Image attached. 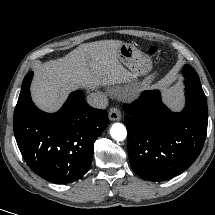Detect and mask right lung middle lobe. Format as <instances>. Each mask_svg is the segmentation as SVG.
Wrapping results in <instances>:
<instances>
[{"mask_svg": "<svg viewBox=\"0 0 215 215\" xmlns=\"http://www.w3.org/2000/svg\"><path fill=\"white\" fill-rule=\"evenodd\" d=\"M32 76H33V72H29L26 75L24 81L27 80L28 83H30ZM29 104H30V97L28 95H23L22 93H20L17 105L15 107L13 124L17 123V121L25 114V112L28 110Z\"/></svg>", "mask_w": 215, "mask_h": 215, "instance_id": "1", "label": "right lung middle lobe"}]
</instances>
